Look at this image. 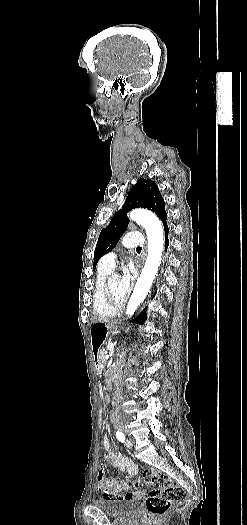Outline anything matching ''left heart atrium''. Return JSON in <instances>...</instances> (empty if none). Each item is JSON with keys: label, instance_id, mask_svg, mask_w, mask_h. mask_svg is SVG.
Segmentation results:
<instances>
[{"label": "left heart atrium", "instance_id": "1", "mask_svg": "<svg viewBox=\"0 0 247 525\" xmlns=\"http://www.w3.org/2000/svg\"><path fill=\"white\" fill-rule=\"evenodd\" d=\"M130 259L133 262H135V257H130ZM133 270L134 269H128V268L123 270V276L118 286V296L120 299H123L124 297H126L131 290V287L133 284V276H132Z\"/></svg>", "mask_w": 247, "mask_h": 525}]
</instances>
